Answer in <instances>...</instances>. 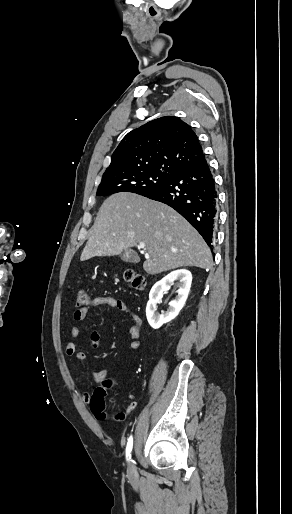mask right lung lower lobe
<instances>
[{
	"mask_svg": "<svg viewBox=\"0 0 292 514\" xmlns=\"http://www.w3.org/2000/svg\"><path fill=\"white\" fill-rule=\"evenodd\" d=\"M180 213L211 246L217 221V192L206 158L174 173L165 183L143 194Z\"/></svg>",
	"mask_w": 292,
	"mask_h": 514,
	"instance_id": "98d812e1",
	"label": "right lung lower lobe"
}]
</instances>
